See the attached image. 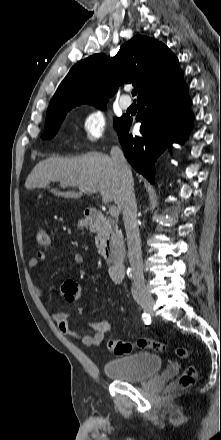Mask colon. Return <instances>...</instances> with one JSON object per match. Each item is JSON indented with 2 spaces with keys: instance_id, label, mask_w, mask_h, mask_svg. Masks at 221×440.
Listing matches in <instances>:
<instances>
[{
  "instance_id": "colon-1",
  "label": "colon",
  "mask_w": 221,
  "mask_h": 440,
  "mask_svg": "<svg viewBox=\"0 0 221 440\" xmlns=\"http://www.w3.org/2000/svg\"><path fill=\"white\" fill-rule=\"evenodd\" d=\"M35 241L39 247L48 248L51 246V238L45 227H38L35 232ZM62 297L68 302H77L80 300V290L78 285L73 281H65L61 286ZM108 349L117 354H128L135 347L140 349H150L154 351H163L165 345L154 339L141 338L134 342L122 341L118 339L110 338L107 342ZM175 353L183 358L189 357V352L184 347H177ZM197 371L193 366L187 367L181 376L171 385V388L187 389L192 387L196 383Z\"/></svg>"
}]
</instances>
